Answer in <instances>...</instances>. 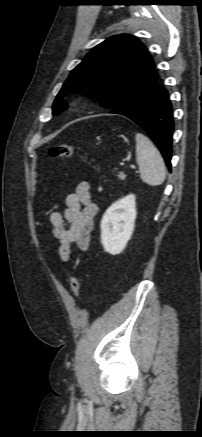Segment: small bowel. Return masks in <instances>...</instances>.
Masks as SVG:
<instances>
[{"label":"small bowel","instance_id":"obj_1","mask_svg":"<svg viewBox=\"0 0 202 437\" xmlns=\"http://www.w3.org/2000/svg\"><path fill=\"white\" fill-rule=\"evenodd\" d=\"M65 205L63 213L51 211L49 221L53 236L59 240L60 259L68 262L75 246L82 251L88 249L98 208L91 200L87 181H81L75 191L66 196Z\"/></svg>","mask_w":202,"mask_h":437}]
</instances>
